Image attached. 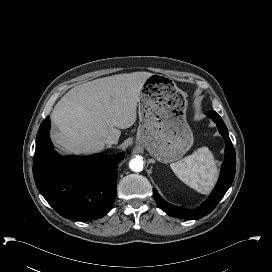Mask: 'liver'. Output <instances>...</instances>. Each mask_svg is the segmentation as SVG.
Wrapping results in <instances>:
<instances>
[{
    "mask_svg": "<svg viewBox=\"0 0 272 272\" xmlns=\"http://www.w3.org/2000/svg\"><path fill=\"white\" fill-rule=\"evenodd\" d=\"M149 72H133L95 79L69 90L56 104L51 133L56 146L73 154L95 153L104 149L105 139L117 140L119 129L131 127L136 107Z\"/></svg>",
    "mask_w": 272,
    "mask_h": 272,
    "instance_id": "liver-1",
    "label": "liver"
}]
</instances>
